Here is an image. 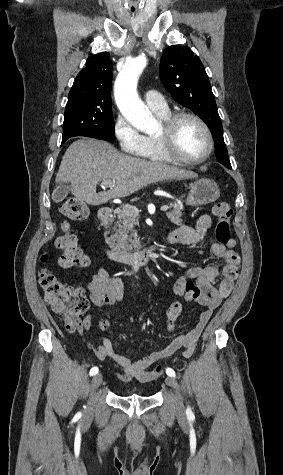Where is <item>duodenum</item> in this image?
Returning <instances> with one entry per match:
<instances>
[{
    "label": "duodenum",
    "instance_id": "1",
    "mask_svg": "<svg viewBox=\"0 0 283 475\" xmlns=\"http://www.w3.org/2000/svg\"><path fill=\"white\" fill-rule=\"evenodd\" d=\"M111 218H112L111 209L107 207H103L98 210L97 220L102 226H107L109 222L111 221ZM157 248H158V245H151L147 248H144L136 252H127L123 250L110 249V248H107L105 251H106L107 257L110 260L115 261V262L126 263V264H133V263L146 264L152 259Z\"/></svg>",
    "mask_w": 283,
    "mask_h": 475
}]
</instances>
